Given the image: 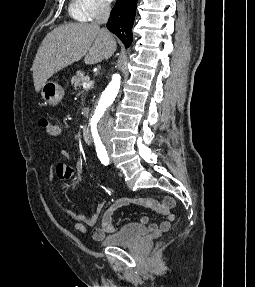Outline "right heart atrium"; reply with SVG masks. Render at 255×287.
Segmentation results:
<instances>
[{
    "instance_id": "d8ad5b80",
    "label": "right heart atrium",
    "mask_w": 255,
    "mask_h": 287,
    "mask_svg": "<svg viewBox=\"0 0 255 287\" xmlns=\"http://www.w3.org/2000/svg\"><path fill=\"white\" fill-rule=\"evenodd\" d=\"M64 48H72V47H64Z\"/></svg>"
}]
</instances>
